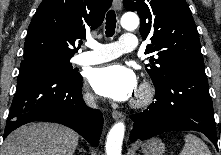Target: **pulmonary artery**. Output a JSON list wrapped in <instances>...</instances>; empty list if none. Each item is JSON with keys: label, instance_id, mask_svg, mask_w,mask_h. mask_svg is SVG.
<instances>
[{"label": "pulmonary artery", "instance_id": "1", "mask_svg": "<svg viewBox=\"0 0 221 155\" xmlns=\"http://www.w3.org/2000/svg\"><path fill=\"white\" fill-rule=\"evenodd\" d=\"M86 45L91 49L80 53L75 61L79 65H93L103 63L117 58L122 53L134 51L137 48L138 40L134 34H123L118 42L102 44L90 40Z\"/></svg>", "mask_w": 221, "mask_h": 155}]
</instances>
